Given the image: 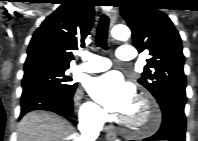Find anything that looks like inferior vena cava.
<instances>
[{"label":"inferior vena cava","mask_w":198,"mask_h":141,"mask_svg":"<svg viewBox=\"0 0 198 141\" xmlns=\"http://www.w3.org/2000/svg\"><path fill=\"white\" fill-rule=\"evenodd\" d=\"M104 117L97 111L81 120L79 130L81 131L82 141H94L103 126Z\"/></svg>","instance_id":"inferior-vena-cava-1"}]
</instances>
